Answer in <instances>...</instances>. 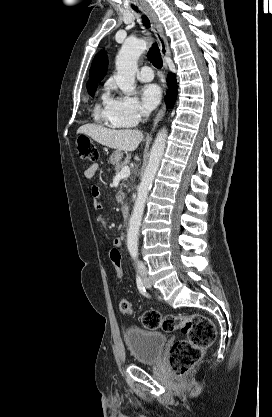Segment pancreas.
<instances>
[{
  "label": "pancreas",
  "mask_w": 272,
  "mask_h": 417,
  "mask_svg": "<svg viewBox=\"0 0 272 417\" xmlns=\"http://www.w3.org/2000/svg\"><path fill=\"white\" fill-rule=\"evenodd\" d=\"M128 163H129V157H127L125 159V161H123V162H121V163H119L115 166L116 172L119 173L122 170V168L127 166ZM116 200H117L118 203H122L123 200H124V193L122 191V187L120 188V190L117 193Z\"/></svg>",
  "instance_id": "obj_1"
}]
</instances>
